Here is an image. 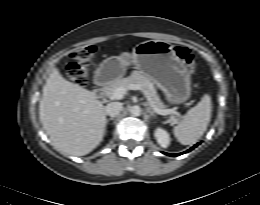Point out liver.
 <instances>
[{
    "mask_svg": "<svg viewBox=\"0 0 260 205\" xmlns=\"http://www.w3.org/2000/svg\"><path fill=\"white\" fill-rule=\"evenodd\" d=\"M39 118L61 153L86 155L105 134V107L93 92L67 81L56 68L43 87Z\"/></svg>",
    "mask_w": 260,
    "mask_h": 205,
    "instance_id": "6515ba94",
    "label": "liver"
}]
</instances>
